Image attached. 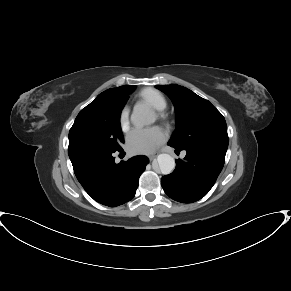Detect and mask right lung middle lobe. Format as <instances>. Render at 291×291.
I'll list each match as a JSON object with an SVG mask.
<instances>
[{
  "instance_id": "1",
  "label": "right lung middle lobe",
  "mask_w": 291,
  "mask_h": 291,
  "mask_svg": "<svg viewBox=\"0 0 291 291\" xmlns=\"http://www.w3.org/2000/svg\"><path fill=\"white\" fill-rule=\"evenodd\" d=\"M135 89L104 91L83 108L69 131V149L91 147L118 150L124 137L120 114L129 94Z\"/></svg>"
}]
</instances>
